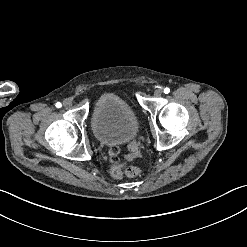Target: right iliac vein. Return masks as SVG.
I'll use <instances>...</instances> for the list:
<instances>
[{
	"label": "right iliac vein",
	"instance_id": "obj_1",
	"mask_svg": "<svg viewBox=\"0 0 247 247\" xmlns=\"http://www.w3.org/2000/svg\"><path fill=\"white\" fill-rule=\"evenodd\" d=\"M64 107L70 108L72 106V103L69 99H66L63 103Z\"/></svg>",
	"mask_w": 247,
	"mask_h": 247
}]
</instances>
